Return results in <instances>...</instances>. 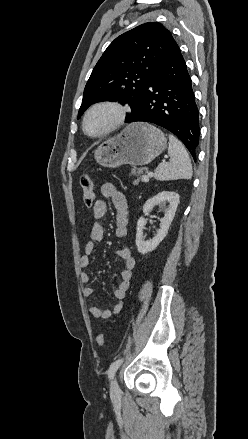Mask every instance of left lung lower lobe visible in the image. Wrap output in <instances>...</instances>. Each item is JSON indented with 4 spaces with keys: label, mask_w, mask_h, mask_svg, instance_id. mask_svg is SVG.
<instances>
[{
    "label": "left lung lower lobe",
    "mask_w": 248,
    "mask_h": 439,
    "mask_svg": "<svg viewBox=\"0 0 248 439\" xmlns=\"http://www.w3.org/2000/svg\"><path fill=\"white\" fill-rule=\"evenodd\" d=\"M139 121L154 123L175 134L196 161L199 113L178 45L148 84L137 111L126 120Z\"/></svg>",
    "instance_id": "0a47b994"
}]
</instances>
